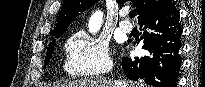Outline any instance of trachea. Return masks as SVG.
<instances>
[{
  "mask_svg": "<svg viewBox=\"0 0 205 87\" xmlns=\"http://www.w3.org/2000/svg\"><path fill=\"white\" fill-rule=\"evenodd\" d=\"M136 16V11L135 10H132L130 13H129V17L130 18H133Z\"/></svg>",
  "mask_w": 205,
  "mask_h": 87,
  "instance_id": "1",
  "label": "trachea"
}]
</instances>
